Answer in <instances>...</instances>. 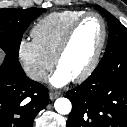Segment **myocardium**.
Segmentation results:
<instances>
[{
  "instance_id": "f54148a6",
  "label": "myocardium",
  "mask_w": 127,
  "mask_h": 127,
  "mask_svg": "<svg viewBox=\"0 0 127 127\" xmlns=\"http://www.w3.org/2000/svg\"><path fill=\"white\" fill-rule=\"evenodd\" d=\"M90 17H96L100 20L102 26V37H101L100 44L95 54L93 55L91 61L89 62V64L82 72H80L78 75L72 78L74 81L77 82L83 81L86 78H88L96 69L99 63L100 57L103 53L107 40V24L104 18L96 12H85L83 15L77 18L66 31L54 56V63L56 67H59L60 61L64 56V54L66 53V51L68 50L76 30L78 29V27L81 25L83 21H85L87 18Z\"/></svg>"
}]
</instances>
